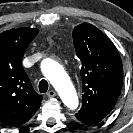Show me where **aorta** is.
<instances>
[{
	"label": "aorta",
	"instance_id": "1",
	"mask_svg": "<svg viewBox=\"0 0 133 133\" xmlns=\"http://www.w3.org/2000/svg\"><path fill=\"white\" fill-rule=\"evenodd\" d=\"M41 71L58 92L63 103L71 110L78 107V96L63 67L52 59L41 63Z\"/></svg>",
	"mask_w": 133,
	"mask_h": 133
}]
</instances>
